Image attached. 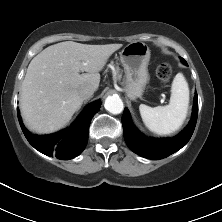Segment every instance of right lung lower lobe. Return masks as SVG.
<instances>
[{"label":"right lung lower lobe","instance_id":"1","mask_svg":"<svg viewBox=\"0 0 222 222\" xmlns=\"http://www.w3.org/2000/svg\"><path fill=\"white\" fill-rule=\"evenodd\" d=\"M100 105V101L89 104L68 129L45 136L34 135L26 130L19 109H17V113L21 129L35 149L47 156L54 155L58 159L68 160L78 156L86 147L89 125Z\"/></svg>","mask_w":222,"mask_h":222}]
</instances>
